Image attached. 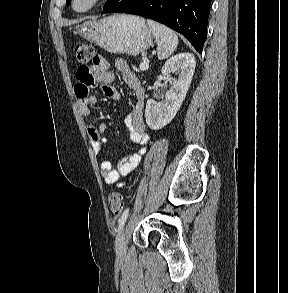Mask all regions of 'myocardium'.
<instances>
[{
    "label": "myocardium",
    "mask_w": 288,
    "mask_h": 293,
    "mask_svg": "<svg viewBox=\"0 0 288 293\" xmlns=\"http://www.w3.org/2000/svg\"><path fill=\"white\" fill-rule=\"evenodd\" d=\"M102 0H88V2L82 6H78V0H71V8L76 13H85L94 9Z\"/></svg>",
    "instance_id": "myocardium-1"
}]
</instances>
